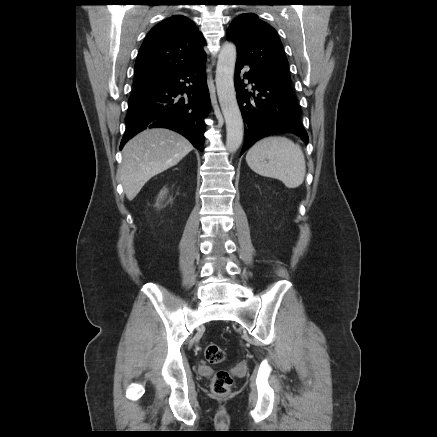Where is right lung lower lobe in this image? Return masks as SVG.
Masks as SVG:
<instances>
[{
  "label": "right lung lower lobe",
  "instance_id": "right-lung-lower-lobe-1",
  "mask_svg": "<svg viewBox=\"0 0 437 437\" xmlns=\"http://www.w3.org/2000/svg\"><path fill=\"white\" fill-rule=\"evenodd\" d=\"M205 61L169 74L130 96L120 149L147 127H165L185 136L198 150H204V118L210 106Z\"/></svg>",
  "mask_w": 437,
  "mask_h": 437
}]
</instances>
